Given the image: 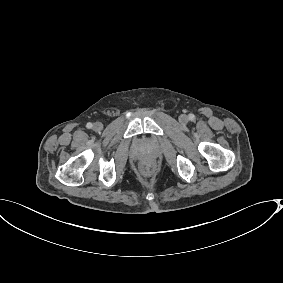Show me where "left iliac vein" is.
I'll return each mask as SVG.
<instances>
[{
    "instance_id": "4c4485c4",
    "label": "left iliac vein",
    "mask_w": 283,
    "mask_h": 283,
    "mask_svg": "<svg viewBox=\"0 0 283 283\" xmlns=\"http://www.w3.org/2000/svg\"><path fill=\"white\" fill-rule=\"evenodd\" d=\"M188 116L187 115H185V114H181L180 116H179V121L181 122V123H187L188 122Z\"/></svg>"
}]
</instances>
